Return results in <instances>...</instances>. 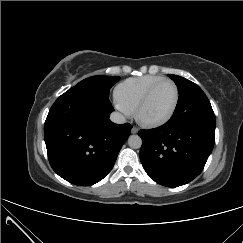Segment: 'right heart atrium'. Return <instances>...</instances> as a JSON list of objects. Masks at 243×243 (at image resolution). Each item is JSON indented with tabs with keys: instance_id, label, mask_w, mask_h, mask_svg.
Segmentation results:
<instances>
[{
	"instance_id": "1",
	"label": "right heart atrium",
	"mask_w": 243,
	"mask_h": 243,
	"mask_svg": "<svg viewBox=\"0 0 243 243\" xmlns=\"http://www.w3.org/2000/svg\"><path fill=\"white\" fill-rule=\"evenodd\" d=\"M116 107L117 109L122 113L124 114L125 116H128L130 115V112L127 111L123 106H121L118 102H116Z\"/></svg>"
}]
</instances>
